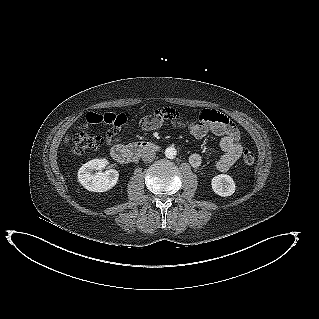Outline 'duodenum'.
<instances>
[{"label": "duodenum", "instance_id": "obj_1", "mask_svg": "<svg viewBox=\"0 0 319 319\" xmlns=\"http://www.w3.org/2000/svg\"><path fill=\"white\" fill-rule=\"evenodd\" d=\"M157 149V146L148 141L133 142L129 145H115L111 149L112 158L119 164H129L146 152Z\"/></svg>", "mask_w": 319, "mask_h": 319}]
</instances>
